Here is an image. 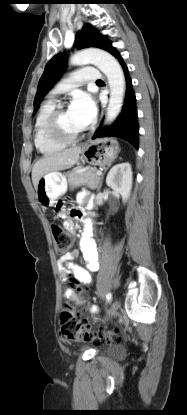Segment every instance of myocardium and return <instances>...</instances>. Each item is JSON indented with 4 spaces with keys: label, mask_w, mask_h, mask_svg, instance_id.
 I'll list each match as a JSON object with an SVG mask.
<instances>
[{
    "label": "myocardium",
    "mask_w": 187,
    "mask_h": 415,
    "mask_svg": "<svg viewBox=\"0 0 187 415\" xmlns=\"http://www.w3.org/2000/svg\"><path fill=\"white\" fill-rule=\"evenodd\" d=\"M65 110V103H60L55 106L47 119L46 130L52 140L64 145H70L82 139L84 136V130L75 135H68L62 130L60 126V118Z\"/></svg>",
    "instance_id": "obj_1"
}]
</instances>
